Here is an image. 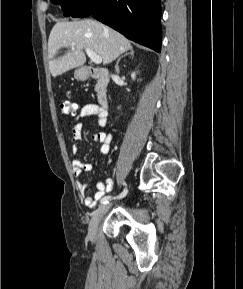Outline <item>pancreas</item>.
Listing matches in <instances>:
<instances>
[{"label":"pancreas","mask_w":243,"mask_h":289,"mask_svg":"<svg viewBox=\"0 0 243 289\" xmlns=\"http://www.w3.org/2000/svg\"><path fill=\"white\" fill-rule=\"evenodd\" d=\"M95 91H96V92L99 91V83L96 84V86H95Z\"/></svg>","instance_id":"pancreas-1"}]
</instances>
